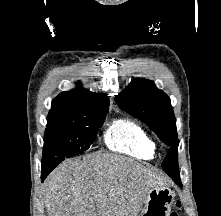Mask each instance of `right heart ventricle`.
I'll list each match as a JSON object with an SVG mask.
<instances>
[{"mask_svg": "<svg viewBox=\"0 0 221 216\" xmlns=\"http://www.w3.org/2000/svg\"><path fill=\"white\" fill-rule=\"evenodd\" d=\"M103 141L110 150L137 158H152L156 150L145 128L131 118L114 120L105 130Z\"/></svg>", "mask_w": 221, "mask_h": 216, "instance_id": "right-heart-ventricle-1", "label": "right heart ventricle"}]
</instances>
